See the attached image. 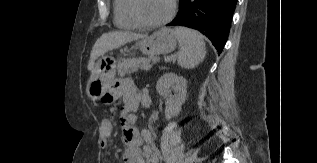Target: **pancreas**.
<instances>
[{"instance_id":"cf45deb5","label":"pancreas","mask_w":317,"mask_h":163,"mask_svg":"<svg viewBox=\"0 0 317 163\" xmlns=\"http://www.w3.org/2000/svg\"><path fill=\"white\" fill-rule=\"evenodd\" d=\"M155 58H123L120 59L117 66V71L120 76H125L132 72H136L138 69H145L151 67L150 63Z\"/></svg>"}]
</instances>
